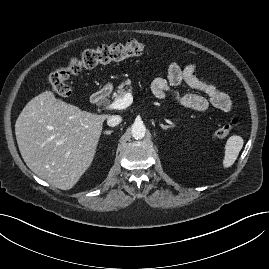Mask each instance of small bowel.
I'll return each instance as SVG.
<instances>
[{"instance_id":"c3829d8e","label":"small bowel","mask_w":269,"mask_h":269,"mask_svg":"<svg viewBox=\"0 0 269 269\" xmlns=\"http://www.w3.org/2000/svg\"><path fill=\"white\" fill-rule=\"evenodd\" d=\"M186 83L190 88L198 93L176 94V101L183 107L203 112L210 106L228 112L232 108L230 97L221 89L210 82L200 79L196 75L194 64L180 66L173 62L169 65L167 77H158L152 81L151 88L157 98H163L171 90L172 86Z\"/></svg>"}]
</instances>
